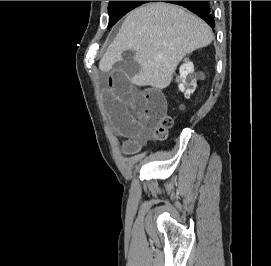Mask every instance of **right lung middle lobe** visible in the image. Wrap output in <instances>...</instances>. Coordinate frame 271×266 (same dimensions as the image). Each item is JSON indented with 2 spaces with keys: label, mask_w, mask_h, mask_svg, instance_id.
<instances>
[{
  "label": "right lung middle lobe",
  "mask_w": 271,
  "mask_h": 266,
  "mask_svg": "<svg viewBox=\"0 0 271 266\" xmlns=\"http://www.w3.org/2000/svg\"><path fill=\"white\" fill-rule=\"evenodd\" d=\"M152 1H110L108 5L109 23L111 28L119 19L134 8Z\"/></svg>",
  "instance_id": "1"
}]
</instances>
